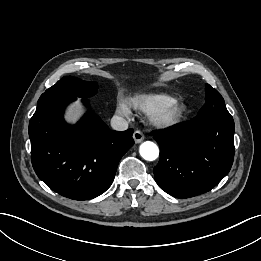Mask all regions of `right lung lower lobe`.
Masks as SVG:
<instances>
[{"label": "right lung lower lobe", "mask_w": 261, "mask_h": 261, "mask_svg": "<svg viewBox=\"0 0 261 261\" xmlns=\"http://www.w3.org/2000/svg\"><path fill=\"white\" fill-rule=\"evenodd\" d=\"M74 100L67 94L41 95L29 122L31 161L50 189L70 199L88 200L111 186L119 160L134 144L133 129L112 131L91 112L68 125L63 112Z\"/></svg>", "instance_id": "obj_1"}]
</instances>
